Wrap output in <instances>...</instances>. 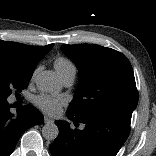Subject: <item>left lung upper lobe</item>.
I'll use <instances>...</instances> for the list:
<instances>
[{"mask_svg": "<svg viewBox=\"0 0 156 156\" xmlns=\"http://www.w3.org/2000/svg\"><path fill=\"white\" fill-rule=\"evenodd\" d=\"M79 70V84L68 113L77 117L118 113L131 119L138 103L134 73L122 53L99 45L61 46Z\"/></svg>", "mask_w": 156, "mask_h": 156, "instance_id": "obj_1", "label": "left lung upper lobe"}]
</instances>
